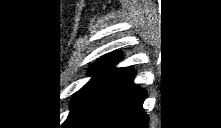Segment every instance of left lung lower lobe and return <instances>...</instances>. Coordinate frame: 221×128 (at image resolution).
Instances as JSON below:
<instances>
[{"label":"left lung lower lobe","instance_id":"0a47b994","mask_svg":"<svg viewBox=\"0 0 221 128\" xmlns=\"http://www.w3.org/2000/svg\"><path fill=\"white\" fill-rule=\"evenodd\" d=\"M132 71L94 104L74 116L65 128H147L149 118L142 104L144 89L133 83Z\"/></svg>","mask_w":221,"mask_h":128}]
</instances>
